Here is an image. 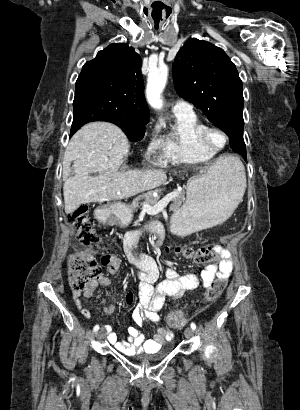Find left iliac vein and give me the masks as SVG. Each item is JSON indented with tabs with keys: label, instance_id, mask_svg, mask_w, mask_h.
Wrapping results in <instances>:
<instances>
[{
	"label": "left iliac vein",
	"instance_id": "obj_1",
	"mask_svg": "<svg viewBox=\"0 0 300 410\" xmlns=\"http://www.w3.org/2000/svg\"><path fill=\"white\" fill-rule=\"evenodd\" d=\"M184 334H185V337L191 338L194 335V330L191 327H187L185 329Z\"/></svg>",
	"mask_w": 300,
	"mask_h": 410
}]
</instances>
